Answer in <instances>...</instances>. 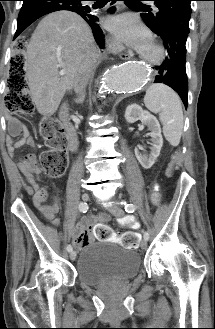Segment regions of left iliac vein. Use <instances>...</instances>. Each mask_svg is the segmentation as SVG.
Returning a JSON list of instances; mask_svg holds the SVG:
<instances>
[{
	"instance_id": "1",
	"label": "left iliac vein",
	"mask_w": 215,
	"mask_h": 329,
	"mask_svg": "<svg viewBox=\"0 0 215 329\" xmlns=\"http://www.w3.org/2000/svg\"><path fill=\"white\" fill-rule=\"evenodd\" d=\"M107 209L112 215H114L116 217H122L124 215V210L118 205H112V206L108 207ZM140 245H141L142 249H145L147 247L146 239H143L141 241Z\"/></svg>"
}]
</instances>
